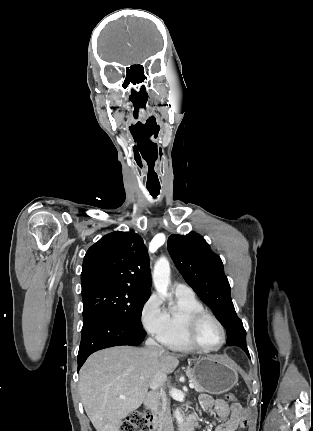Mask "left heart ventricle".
Masks as SVG:
<instances>
[{
	"instance_id": "b2bd125f",
	"label": "left heart ventricle",
	"mask_w": 313,
	"mask_h": 431,
	"mask_svg": "<svg viewBox=\"0 0 313 431\" xmlns=\"http://www.w3.org/2000/svg\"><path fill=\"white\" fill-rule=\"evenodd\" d=\"M197 340L205 347H216L221 342V332L217 324L209 319H204L196 333Z\"/></svg>"
}]
</instances>
